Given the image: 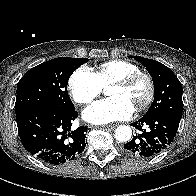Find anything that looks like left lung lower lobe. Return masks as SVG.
Masks as SVG:
<instances>
[{"label": "left lung lower lobe", "mask_w": 196, "mask_h": 196, "mask_svg": "<svg viewBox=\"0 0 196 196\" xmlns=\"http://www.w3.org/2000/svg\"><path fill=\"white\" fill-rule=\"evenodd\" d=\"M180 120L166 114L144 115L131 125L141 132L124 144L123 151L130 156L153 157L166 149L176 136Z\"/></svg>", "instance_id": "left-lung-lower-lobe-1"}]
</instances>
